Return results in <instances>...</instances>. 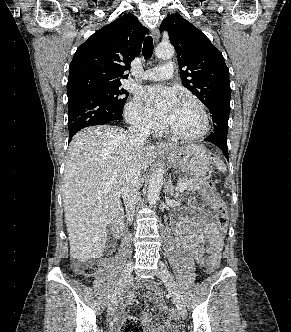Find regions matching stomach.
<instances>
[{
    "instance_id": "stomach-1",
    "label": "stomach",
    "mask_w": 291,
    "mask_h": 332,
    "mask_svg": "<svg viewBox=\"0 0 291 332\" xmlns=\"http://www.w3.org/2000/svg\"><path fill=\"white\" fill-rule=\"evenodd\" d=\"M163 152L171 166L189 173L194 178L206 175L210 169L211 155L202 146L194 144L170 145Z\"/></svg>"
}]
</instances>
